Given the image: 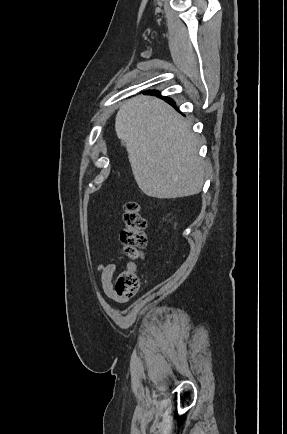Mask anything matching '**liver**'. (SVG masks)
I'll use <instances>...</instances> for the list:
<instances>
[{"label":"liver","mask_w":287,"mask_h":434,"mask_svg":"<svg viewBox=\"0 0 287 434\" xmlns=\"http://www.w3.org/2000/svg\"><path fill=\"white\" fill-rule=\"evenodd\" d=\"M125 141L134 178L149 197L170 199L198 194L204 166L191 125L163 100L139 96L123 104L115 119Z\"/></svg>","instance_id":"liver-1"}]
</instances>
